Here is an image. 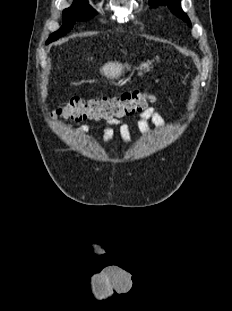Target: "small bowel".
Instances as JSON below:
<instances>
[{
  "mask_svg": "<svg viewBox=\"0 0 232 311\" xmlns=\"http://www.w3.org/2000/svg\"><path fill=\"white\" fill-rule=\"evenodd\" d=\"M151 125L155 127L158 131H163L167 128L168 122L162 115V113L155 107H149L145 109L139 118L137 119V128L139 133L144 137L149 139L152 136ZM113 126H117L119 134L127 142L130 138V128L126 123L120 122L118 120L108 121L103 126V140L107 144L113 135ZM67 128L71 132L76 134L88 133L91 130V126L86 123L82 124H67Z\"/></svg>",
  "mask_w": 232,
  "mask_h": 311,
  "instance_id": "obj_1",
  "label": "small bowel"
}]
</instances>
